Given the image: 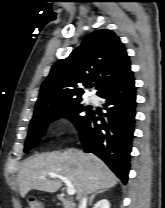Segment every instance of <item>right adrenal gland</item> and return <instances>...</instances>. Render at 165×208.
<instances>
[{
    "label": "right adrenal gland",
    "instance_id": "right-adrenal-gland-1",
    "mask_svg": "<svg viewBox=\"0 0 165 208\" xmlns=\"http://www.w3.org/2000/svg\"><path fill=\"white\" fill-rule=\"evenodd\" d=\"M107 190H108V189H103V190H100V191H97L96 193H94V194L90 197L89 202H88V205H92L93 199H94V197H95L96 195L102 194V193L106 192Z\"/></svg>",
    "mask_w": 165,
    "mask_h": 208
}]
</instances>
